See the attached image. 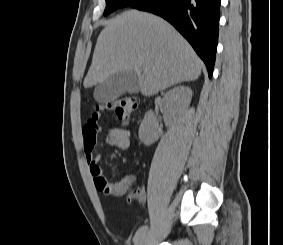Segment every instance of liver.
<instances>
[{
	"mask_svg": "<svg viewBox=\"0 0 283 245\" xmlns=\"http://www.w3.org/2000/svg\"><path fill=\"white\" fill-rule=\"evenodd\" d=\"M202 61L168 22L146 12L126 11L107 21L98 36L84 87L121 71L134 72L150 96L201 74Z\"/></svg>",
	"mask_w": 283,
	"mask_h": 245,
	"instance_id": "obj_1",
	"label": "liver"
}]
</instances>
